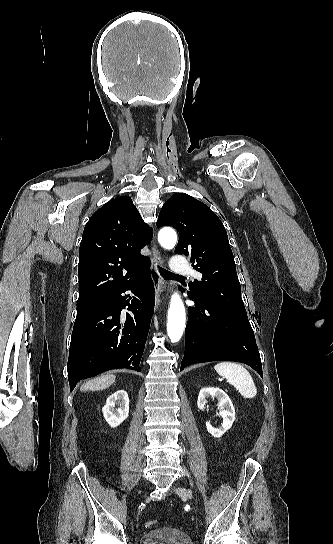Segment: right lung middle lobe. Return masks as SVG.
<instances>
[{
	"mask_svg": "<svg viewBox=\"0 0 333 544\" xmlns=\"http://www.w3.org/2000/svg\"><path fill=\"white\" fill-rule=\"evenodd\" d=\"M112 297L113 296H100V297H95V298H91L87 300L78 301L76 318H80L82 316H85L87 314H90L98 310L104 304L109 302L112 299Z\"/></svg>",
	"mask_w": 333,
	"mask_h": 544,
	"instance_id": "right-lung-middle-lobe-1",
	"label": "right lung middle lobe"
}]
</instances>
